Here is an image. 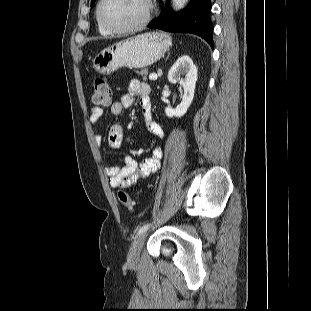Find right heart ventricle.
I'll use <instances>...</instances> for the list:
<instances>
[{"instance_id": "obj_1", "label": "right heart ventricle", "mask_w": 311, "mask_h": 311, "mask_svg": "<svg viewBox=\"0 0 311 311\" xmlns=\"http://www.w3.org/2000/svg\"><path fill=\"white\" fill-rule=\"evenodd\" d=\"M96 20H97V30L98 32L101 34V35H109L111 32H109L106 28H104L100 22L98 21L97 17H96Z\"/></svg>"}]
</instances>
